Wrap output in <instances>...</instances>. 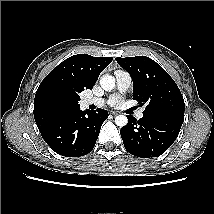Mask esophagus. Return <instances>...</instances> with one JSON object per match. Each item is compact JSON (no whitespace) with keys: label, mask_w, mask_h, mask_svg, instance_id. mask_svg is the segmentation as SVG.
<instances>
[{"label":"esophagus","mask_w":214,"mask_h":214,"mask_svg":"<svg viewBox=\"0 0 214 214\" xmlns=\"http://www.w3.org/2000/svg\"><path fill=\"white\" fill-rule=\"evenodd\" d=\"M111 114H112V115H117L118 113L115 112V111H112Z\"/></svg>","instance_id":"34e87169"}]
</instances>
